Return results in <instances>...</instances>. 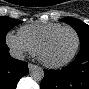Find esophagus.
Here are the masks:
<instances>
[{"label": "esophagus", "instance_id": "esophagus-1", "mask_svg": "<svg viewBox=\"0 0 89 89\" xmlns=\"http://www.w3.org/2000/svg\"><path fill=\"white\" fill-rule=\"evenodd\" d=\"M37 66H35L34 64H32V63H29L28 64V68H29V70L31 71V70H33V69H35Z\"/></svg>", "mask_w": 89, "mask_h": 89}]
</instances>
